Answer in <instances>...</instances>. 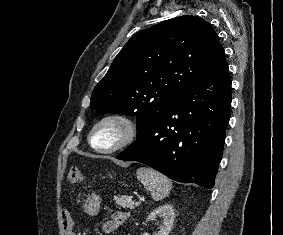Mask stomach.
<instances>
[{
	"label": "stomach",
	"instance_id": "0dacf381",
	"mask_svg": "<svg viewBox=\"0 0 283 235\" xmlns=\"http://www.w3.org/2000/svg\"><path fill=\"white\" fill-rule=\"evenodd\" d=\"M101 199L100 197L92 193L85 201L84 207L87 213L90 215H96L100 210Z\"/></svg>",
	"mask_w": 283,
	"mask_h": 235
}]
</instances>
